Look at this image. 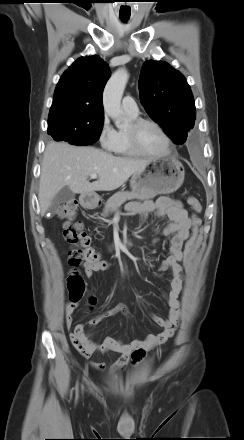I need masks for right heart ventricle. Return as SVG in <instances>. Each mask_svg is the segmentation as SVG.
Instances as JSON below:
<instances>
[{
	"instance_id": "right-heart-ventricle-1",
	"label": "right heart ventricle",
	"mask_w": 244,
	"mask_h": 440,
	"mask_svg": "<svg viewBox=\"0 0 244 440\" xmlns=\"http://www.w3.org/2000/svg\"><path fill=\"white\" fill-rule=\"evenodd\" d=\"M131 119H136L137 115L128 114ZM112 153L120 156H135L138 155L130 146L127 139L126 130L116 131L115 142L110 150Z\"/></svg>"
}]
</instances>
